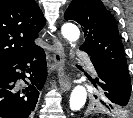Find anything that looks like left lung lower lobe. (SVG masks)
<instances>
[{"instance_id":"0a47b994","label":"left lung lower lobe","mask_w":133,"mask_h":118,"mask_svg":"<svg viewBox=\"0 0 133 118\" xmlns=\"http://www.w3.org/2000/svg\"><path fill=\"white\" fill-rule=\"evenodd\" d=\"M91 61L98 74L93 83H97L104 91L105 103L111 108L115 105L127 107L130 103L131 81L117 73L104 61L93 56Z\"/></svg>"}]
</instances>
